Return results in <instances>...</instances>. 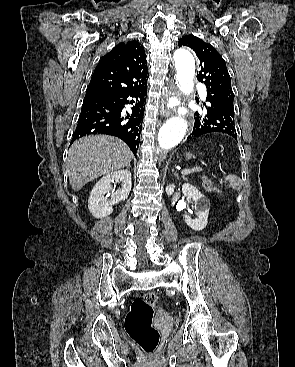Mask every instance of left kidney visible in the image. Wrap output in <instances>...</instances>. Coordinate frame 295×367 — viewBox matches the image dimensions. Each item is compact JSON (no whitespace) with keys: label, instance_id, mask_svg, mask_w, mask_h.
<instances>
[{"label":"left kidney","instance_id":"5707ae66","mask_svg":"<svg viewBox=\"0 0 295 367\" xmlns=\"http://www.w3.org/2000/svg\"><path fill=\"white\" fill-rule=\"evenodd\" d=\"M174 188V184L168 185L166 187L167 195H172ZM182 192L188 202L193 201L195 203V211L198 216L196 219H191L188 215H184L186 224L195 231L203 230L207 225L210 201L196 187L189 183L182 185Z\"/></svg>","mask_w":295,"mask_h":367}]
</instances>
